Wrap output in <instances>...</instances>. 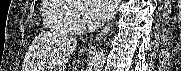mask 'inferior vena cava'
<instances>
[{"mask_svg":"<svg viewBox=\"0 0 181 71\" xmlns=\"http://www.w3.org/2000/svg\"><path fill=\"white\" fill-rule=\"evenodd\" d=\"M98 27H99V25H97L95 22H90L88 25V29L90 32L95 31Z\"/></svg>","mask_w":181,"mask_h":71,"instance_id":"602c4592","label":"inferior vena cava"}]
</instances>
